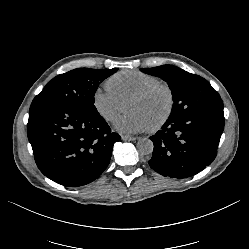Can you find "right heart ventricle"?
<instances>
[{
	"label": "right heart ventricle",
	"instance_id": "1",
	"mask_svg": "<svg viewBox=\"0 0 249 249\" xmlns=\"http://www.w3.org/2000/svg\"><path fill=\"white\" fill-rule=\"evenodd\" d=\"M156 82L160 81L152 74L138 70H122L110 76L106 81V86L122 102H126L132 95Z\"/></svg>",
	"mask_w": 249,
	"mask_h": 249
}]
</instances>
